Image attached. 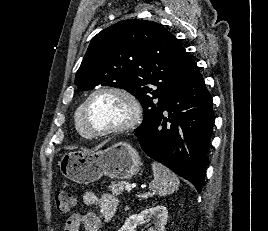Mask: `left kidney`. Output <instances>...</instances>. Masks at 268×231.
Segmentation results:
<instances>
[{
	"label": "left kidney",
	"mask_w": 268,
	"mask_h": 231,
	"mask_svg": "<svg viewBox=\"0 0 268 231\" xmlns=\"http://www.w3.org/2000/svg\"><path fill=\"white\" fill-rule=\"evenodd\" d=\"M167 219L168 211L166 207L156 206L129 216L119 231H136L137 225L145 222V220H153L154 226L149 231H164Z\"/></svg>",
	"instance_id": "left-kidney-1"
}]
</instances>
